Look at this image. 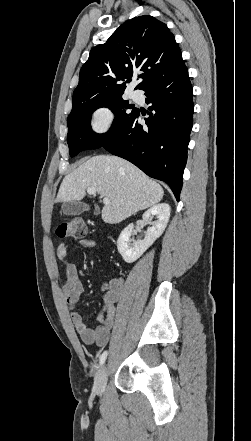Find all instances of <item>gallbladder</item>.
<instances>
[{"mask_svg": "<svg viewBox=\"0 0 251 441\" xmlns=\"http://www.w3.org/2000/svg\"><path fill=\"white\" fill-rule=\"evenodd\" d=\"M89 206L81 202L69 201L65 202L62 206V212L65 215H80L84 211H87Z\"/></svg>", "mask_w": 251, "mask_h": 441, "instance_id": "gallbladder-1", "label": "gallbladder"}]
</instances>
